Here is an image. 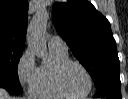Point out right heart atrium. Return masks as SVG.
Masks as SVG:
<instances>
[{"instance_id":"1","label":"right heart atrium","mask_w":128,"mask_h":99,"mask_svg":"<svg viewBox=\"0 0 128 99\" xmlns=\"http://www.w3.org/2000/svg\"><path fill=\"white\" fill-rule=\"evenodd\" d=\"M37 67L35 65V57L32 50L27 49L21 55L17 64V75L20 84L24 88L31 89L32 83L36 75Z\"/></svg>"}]
</instances>
